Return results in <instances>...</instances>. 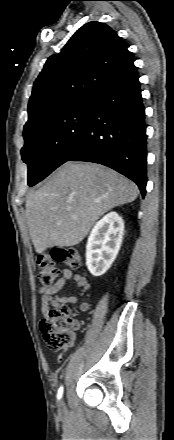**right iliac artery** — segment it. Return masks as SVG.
Instances as JSON below:
<instances>
[{"label": "right iliac artery", "instance_id": "82829eb1", "mask_svg": "<svg viewBox=\"0 0 174 440\" xmlns=\"http://www.w3.org/2000/svg\"><path fill=\"white\" fill-rule=\"evenodd\" d=\"M63 394V386L58 389L57 399L60 400Z\"/></svg>", "mask_w": 174, "mask_h": 440}]
</instances>
